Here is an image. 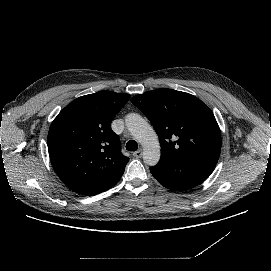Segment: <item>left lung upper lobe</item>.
<instances>
[{
    "mask_svg": "<svg viewBox=\"0 0 271 271\" xmlns=\"http://www.w3.org/2000/svg\"><path fill=\"white\" fill-rule=\"evenodd\" d=\"M131 101L153 125L162 154L218 162L221 132L212 111L197 97L162 88Z\"/></svg>",
    "mask_w": 271,
    "mask_h": 271,
    "instance_id": "obj_1",
    "label": "left lung upper lobe"
}]
</instances>
